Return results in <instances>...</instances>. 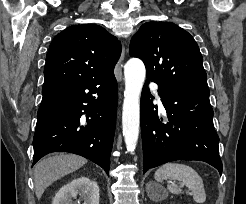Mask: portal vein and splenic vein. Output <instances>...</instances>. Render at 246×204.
Instances as JSON below:
<instances>
[{
    "instance_id": "portal-vein-and-splenic-vein-1",
    "label": "portal vein and splenic vein",
    "mask_w": 246,
    "mask_h": 204,
    "mask_svg": "<svg viewBox=\"0 0 246 204\" xmlns=\"http://www.w3.org/2000/svg\"><path fill=\"white\" fill-rule=\"evenodd\" d=\"M181 187H184V184H181Z\"/></svg>"
}]
</instances>
